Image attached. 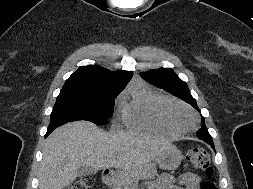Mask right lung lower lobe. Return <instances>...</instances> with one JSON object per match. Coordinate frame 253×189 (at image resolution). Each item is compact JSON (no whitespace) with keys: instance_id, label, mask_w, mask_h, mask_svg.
I'll list each match as a JSON object with an SVG mask.
<instances>
[{"instance_id":"1","label":"right lung lower lobe","mask_w":253,"mask_h":189,"mask_svg":"<svg viewBox=\"0 0 253 189\" xmlns=\"http://www.w3.org/2000/svg\"><path fill=\"white\" fill-rule=\"evenodd\" d=\"M57 127H48V131L45 135V137H47L54 129H56Z\"/></svg>"}]
</instances>
